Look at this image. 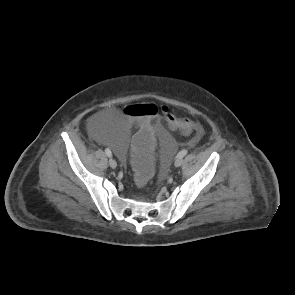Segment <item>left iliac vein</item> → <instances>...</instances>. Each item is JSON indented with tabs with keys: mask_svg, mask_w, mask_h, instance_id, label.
<instances>
[{
	"mask_svg": "<svg viewBox=\"0 0 295 295\" xmlns=\"http://www.w3.org/2000/svg\"><path fill=\"white\" fill-rule=\"evenodd\" d=\"M182 163H183V158H176L174 165L175 167H179L182 165Z\"/></svg>",
	"mask_w": 295,
	"mask_h": 295,
	"instance_id": "left-iliac-vein-1",
	"label": "left iliac vein"
}]
</instances>
